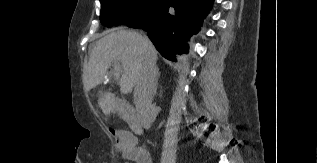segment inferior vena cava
Here are the masks:
<instances>
[{"label":"inferior vena cava","instance_id":"1","mask_svg":"<svg viewBox=\"0 0 317 163\" xmlns=\"http://www.w3.org/2000/svg\"><path fill=\"white\" fill-rule=\"evenodd\" d=\"M145 57L139 78L134 90V103L141 125L148 129L154 119L153 95L156 92L155 80L157 76L156 56L148 38L143 40Z\"/></svg>","mask_w":317,"mask_h":163}]
</instances>
